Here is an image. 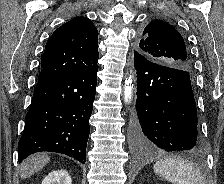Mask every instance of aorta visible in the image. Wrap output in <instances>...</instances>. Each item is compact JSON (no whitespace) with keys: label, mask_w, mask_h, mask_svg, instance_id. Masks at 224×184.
I'll return each mask as SVG.
<instances>
[{"label":"aorta","mask_w":224,"mask_h":184,"mask_svg":"<svg viewBox=\"0 0 224 184\" xmlns=\"http://www.w3.org/2000/svg\"><path fill=\"white\" fill-rule=\"evenodd\" d=\"M132 90H133L132 78L131 76H129V78L125 80V86H124V99L126 103H129L131 101Z\"/></svg>","instance_id":"aorta-1"}]
</instances>
